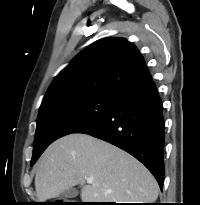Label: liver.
<instances>
[{"label": "liver", "instance_id": "1", "mask_svg": "<svg viewBox=\"0 0 200 205\" xmlns=\"http://www.w3.org/2000/svg\"><path fill=\"white\" fill-rule=\"evenodd\" d=\"M87 178L93 183L86 184ZM75 185L90 203H150L159 194L153 175L127 152L86 134L54 141L37 164L35 189L40 202Z\"/></svg>", "mask_w": 200, "mask_h": 205}]
</instances>
